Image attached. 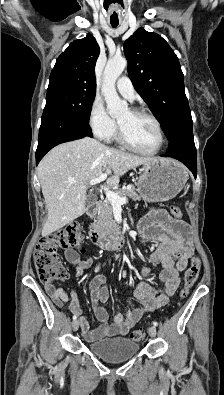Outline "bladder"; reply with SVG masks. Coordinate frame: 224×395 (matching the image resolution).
<instances>
[{
    "label": "bladder",
    "mask_w": 224,
    "mask_h": 395,
    "mask_svg": "<svg viewBox=\"0 0 224 395\" xmlns=\"http://www.w3.org/2000/svg\"><path fill=\"white\" fill-rule=\"evenodd\" d=\"M87 348L104 361L122 362L135 356L140 345L126 337H114L89 343Z\"/></svg>",
    "instance_id": "1"
}]
</instances>
